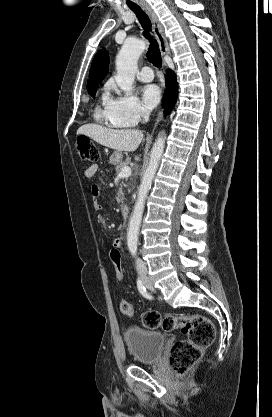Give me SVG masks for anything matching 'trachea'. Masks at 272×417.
I'll return each instance as SVG.
<instances>
[{
  "mask_svg": "<svg viewBox=\"0 0 272 417\" xmlns=\"http://www.w3.org/2000/svg\"><path fill=\"white\" fill-rule=\"evenodd\" d=\"M130 9L136 14L140 24L144 28L143 34L150 41V46L147 52V59L157 68L162 66V58L160 55V50L158 43L155 39L151 38L149 31L151 29V22L149 17L143 12V10L138 6H131Z\"/></svg>",
  "mask_w": 272,
  "mask_h": 417,
  "instance_id": "3493384b",
  "label": "trachea"
}]
</instances>
